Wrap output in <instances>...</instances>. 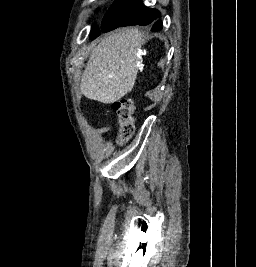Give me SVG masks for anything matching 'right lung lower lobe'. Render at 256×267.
<instances>
[{
  "mask_svg": "<svg viewBox=\"0 0 256 267\" xmlns=\"http://www.w3.org/2000/svg\"><path fill=\"white\" fill-rule=\"evenodd\" d=\"M159 16V12L154 9H148L142 3L138 5L129 15L125 16L119 21L115 27L129 26V25H140L151 27V31L156 32L162 29V22L156 20Z\"/></svg>",
  "mask_w": 256,
  "mask_h": 267,
  "instance_id": "98d812e1",
  "label": "right lung lower lobe"
}]
</instances>
